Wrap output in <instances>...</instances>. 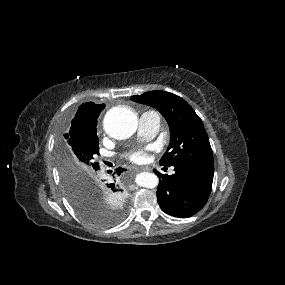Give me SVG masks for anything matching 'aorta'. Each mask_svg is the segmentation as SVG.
<instances>
[{
  "label": "aorta",
  "instance_id": "762f6f07",
  "mask_svg": "<svg viewBox=\"0 0 285 285\" xmlns=\"http://www.w3.org/2000/svg\"><path fill=\"white\" fill-rule=\"evenodd\" d=\"M137 117L135 113L127 107H114L110 109L104 118L103 125L106 133L116 139H126L130 137L137 128ZM135 182L144 188H155L159 179L154 173L141 172Z\"/></svg>",
  "mask_w": 285,
  "mask_h": 285
}]
</instances>
